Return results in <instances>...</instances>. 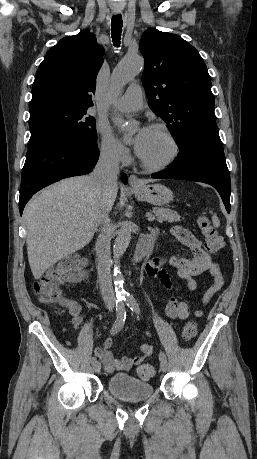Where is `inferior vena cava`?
<instances>
[{
	"mask_svg": "<svg viewBox=\"0 0 257 459\" xmlns=\"http://www.w3.org/2000/svg\"><path fill=\"white\" fill-rule=\"evenodd\" d=\"M119 162L117 150H102L98 163L92 173V178L96 183L99 193L104 196L97 215V226H101V232L96 242V254L100 291L104 303L109 308L114 306L115 301L110 273L112 263L110 242L113 229L109 218V195L117 187Z\"/></svg>",
	"mask_w": 257,
	"mask_h": 459,
	"instance_id": "inferior-vena-cava-1",
	"label": "inferior vena cava"
}]
</instances>
